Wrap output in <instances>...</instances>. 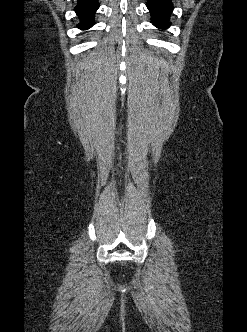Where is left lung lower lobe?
I'll use <instances>...</instances> for the list:
<instances>
[{"mask_svg": "<svg viewBox=\"0 0 247 332\" xmlns=\"http://www.w3.org/2000/svg\"><path fill=\"white\" fill-rule=\"evenodd\" d=\"M147 8L150 11L152 23L160 29L169 28L170 15L173 11L171 0H148Z\"/></svg>", "mask_w": 247, "mask_h": 332, "instance_id": "0a47b994", "label": "left lung lower lobe"}]
</instances>
